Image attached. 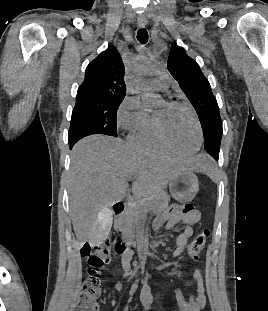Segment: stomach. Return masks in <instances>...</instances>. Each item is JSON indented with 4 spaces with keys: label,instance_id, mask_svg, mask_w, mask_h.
I'll return each instance as SVG.
<instances>
[{
    "label": "stomach",
    "instance_id": "0dacf381",
    "mask_svg": "<svg viewBox=\"0 0 268 311\" xmlns=\"http://www.w3.org/2000/svg\"><path fill=\"white\" fill-rule=\"evenodd\" d=\"M169 190L177 201L190 202L199 190L198 178L191 170L182 171L170 180Z\"/></svg>",
    "mask_w": 268,
    "mask_h": 311
}]
</instances>
